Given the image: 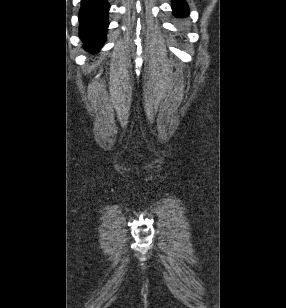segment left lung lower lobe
<instances>
[{"mask_svg": "<svg viewBox=\"0 0 286 308\" xmlns=\"http://www.w3.org/2000/svg\"><path fill=\"white\" fill-rule=\"evenodd\" d=\"M173 13L176 16L184 17L188 15V5L185 0H172Z\"/></svg>", "mask_w": 286, "mask_h": 308, "instance_id": "left-lung-lower-lobe-1", "label": "left lung lower lobe"}]
</instances>
